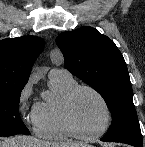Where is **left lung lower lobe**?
Here are the masks:
<instances>
[{
    "label": "left lung lower lobe",
    "mask_w": 145,
    "mask_h": 147,
    "mask_svg": "<svg viewBox=\"0 0 145 147\" xmlns=\"http://www.w3.org/2000/svg\"><path fill=\"white\" fill-rule=\"evenodd\" d=\"M101 141L110 142V141H107V140L104 139V138H101ZM126 144L133 145L134 147H142V144H132V143H126Z\"/></svg>",
    "instance_id": "obj_1"
}]
</instances>
